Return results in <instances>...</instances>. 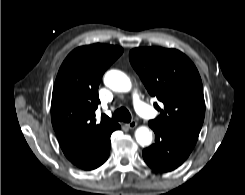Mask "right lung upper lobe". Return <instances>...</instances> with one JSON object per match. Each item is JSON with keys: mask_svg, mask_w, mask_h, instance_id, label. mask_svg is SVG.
<instances>
[{"mask_svg": "<svg viewBox=\"0 0 245 195\" xmlns=\"http://www.w3.org/2000/svg\"><path fill=\"white\" fill-rule=\"evenodd\" d=\"M118 46L93 44L73 50L62 63L52 94L51 120L71 163L84 170L100 166L104 142L120 125L95 119L98 87L107 68L122 54Z\"/></svg>", "mask_w": 245, "mask_h": 195, "instance_id": "1", "label": "right lung upper lobe"}]
</instances>
